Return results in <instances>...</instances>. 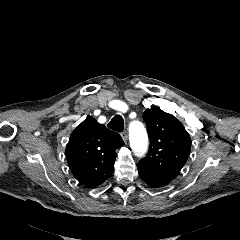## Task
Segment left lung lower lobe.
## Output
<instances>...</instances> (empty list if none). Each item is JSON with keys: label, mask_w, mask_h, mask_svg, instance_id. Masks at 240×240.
Listing matches in <instances>:
<instances>
[{"label": "left lung lower lobe", "mask_w": 240, "mask_h": 240, "mask_svg": "<svg viewBox=\"0 0 240 240\" xmlns=\"http://www.w3.org/2000/svg\"><path fill=\"white\" fill-rule=\"evenodd\" d=\"M137 166L141 179L152 188H161L171 182L168 178L157 174L145 165L138 164Z\"/></svg>", "instance_id": "0a47b994"}]
</instances>
